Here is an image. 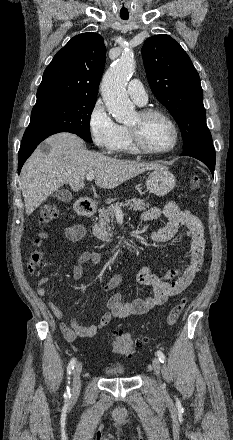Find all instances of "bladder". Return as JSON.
<instances>
[{"mask_svg":"<svg viewBox=\"0 0 233 440\" xmlns=\"http://www.w3.org/2000/svg\"><path fill=\"white\" fill-rule=\"evenodd\" d=\"M107 374L112 377H125L126 371L122 366H110L107 368Z\"/></svg>","mask_w":233,"mask_h":440,"instance_id":"obj_1","label":"bladder"}]
</instances>
